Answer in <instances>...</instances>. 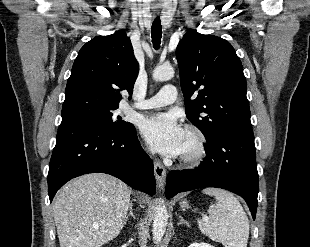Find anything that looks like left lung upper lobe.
Returning <instances> with one entry per match:
<instances>
[{
	"instance_id": "left-lung-upper-lobe-1",
	"label": "left lung upper lobe",
	"mask_w": 310,
	"mask_h": 247,
	"mask_svg": "<svg viewBox=\"0 0 310 247\" xmlns=\"http://www.w3.org/2000/svg\"><path fill=\"white\" fill-rule=\"evenodd\" d=\"M176 58L187 118L207 143L230 131L251 129L246 78L228 41L190 30L180 40Z\"/></svg>"
}]
</instances>
